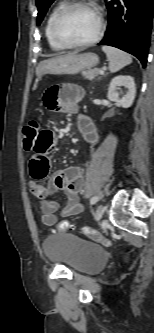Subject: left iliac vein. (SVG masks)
<instances>
[{
  "label": "left iliac vein",
  "instance_id": "left-iliac-vein-1",
  "mask_svg": "<svg viewBox=\"0 0 154 333\" xmlns=\"http://www.w3.org/2000/svg\"><path fill=\"white\" fill-rule=\"evenodd\" d=\"M103 214H104V207L102 205H99L94 212V219L96 221H99L102 218Z\"/></svg>",
  "mask_w": 154,
  "mask_h": 333
}]
</instances>
